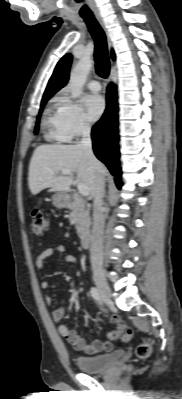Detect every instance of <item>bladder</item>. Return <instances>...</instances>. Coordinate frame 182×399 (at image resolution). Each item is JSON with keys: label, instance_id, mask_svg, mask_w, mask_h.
I'll return each instance as SVG.
<instances>
[{"label": "bladder", "instance_id": "obj_1", "mask_svg": "<svg viewBox=\"0 0 182 399\" xmlns=\"http://www.w3.org/2000/svg\"><path fill=\"white\" fill-rule=\"evenodd\" d=\"M123 356V350H115L109 354L98 355L95 357L77 356L75 358V363L84 373H102L108 371Z\"/></svg>", "mask_w": 182, "mask_h": 399}]
</instances>
